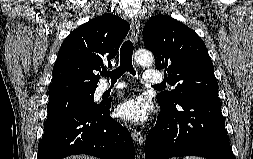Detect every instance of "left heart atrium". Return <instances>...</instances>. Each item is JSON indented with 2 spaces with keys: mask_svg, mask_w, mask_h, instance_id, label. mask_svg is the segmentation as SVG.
I'll list each match as a JSON object with an SVG mask.
<instances>
[{
  "mask_svg": "<svg viewBox=\"0 0 253 159\" xmlns=\"http://www.w3.org/2000/svg\"><path fill=\"white\" fill-rule=\"evenodd\" d=\"M117 115L128 122L142 124L149 116V105L141 96L123 101L117 107Z\"/></svg>",
  "mask_w": 253,
  "mask_h": 159,
  "instance_id": "obj_1",
  "label": "left heart atrium"
}]
</instances>
